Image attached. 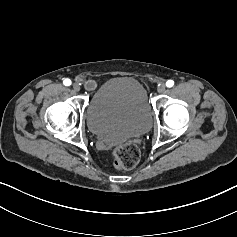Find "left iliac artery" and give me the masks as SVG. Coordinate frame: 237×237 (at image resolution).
<instances>
[{
	"instance_id": "left-iliac-artery-1",
	"label": "left iliac artery",
	"mask_w": 237,
	"mask_h": 237,
	"mask_svg": "<svg viewBox=\"0 0 237 237\" xmlns=\"http://www.w3.org/2000/svg\"><path fill=\"white\" fill-rule=\"evenodd\" d=\"M174 85V81L173 80H168L167 82H166V86L167 87H172Z\"/></svg>"
}]
</instances>
